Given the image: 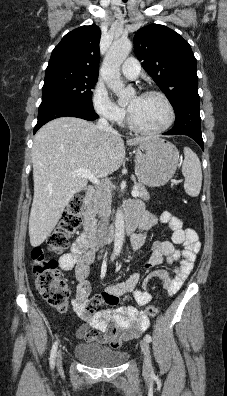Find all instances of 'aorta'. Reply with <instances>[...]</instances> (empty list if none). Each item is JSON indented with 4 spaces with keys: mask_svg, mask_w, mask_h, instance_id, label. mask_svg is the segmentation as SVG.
<instances>
[{
    "mask_svg": "<svg viewBox=\"0 0 227 396\" xmlns=\"http://www.w3.org/2000/svg\"><path fill=\"white\" fill-rule=\"evenodd\" d=\"M132 49V43L128 39L115 40L103 61L102 78L107 86L118 96L119 102L128 100V92L124 89L120 77V66ZM125 237L124 215L122 210H117L115 215L114 250L120 252Z\"/></svg>",
    "mask_w": 227,
    "mask_h": 396,
    "instance_id": "762f6f07",
    "label": "aorta"
}]
</instances>
